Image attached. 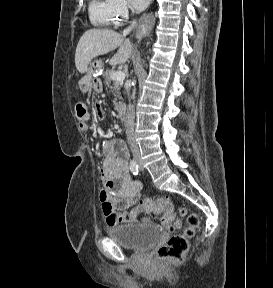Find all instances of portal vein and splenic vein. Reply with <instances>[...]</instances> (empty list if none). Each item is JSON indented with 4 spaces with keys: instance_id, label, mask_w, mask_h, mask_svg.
Listing matches in <instances>:
<instances>
[{
    "instance_id": "portal-vein-and-splenic-vein-1",
    "label": "portal vein and splenic vein",
    "mask_w": 273,
    "mask_h": 288,
    "mask_svg": "<svg viewBox=\"0 0 273 288\" xmlns=\"http://www.w3.org/2000/svg\"><path fill=\"white\" fill-rule=\"evenodd\" d=\"M111 79L118 82H122L125 79V73L122 71L113 72L111 75Z\"/></svg>"
}]
</instances>
